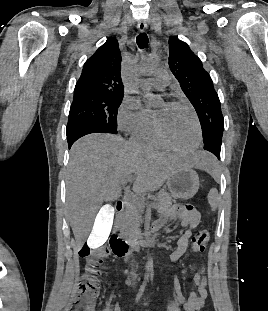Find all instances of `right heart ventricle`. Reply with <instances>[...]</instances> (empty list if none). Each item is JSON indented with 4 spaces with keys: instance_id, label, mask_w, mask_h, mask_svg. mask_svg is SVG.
Instances as JSON below:
<instances>
[{
    "instance_id": "right-heart-ventricle-1",
    "label": "right heart ventricle",
    "mask_w": 268,
    "mask_h": 311,
    "mask_svg": "<svg viewBox=\"0 0 268 311\" xmlns=\"http://www.w3.org/2000/svg\"><path fill=\"white\" fill-rule=\"evenodd\" d=\"M132 140L136 144L147 147V148H163L164 147L155 134L154 124L152 120L148 126L134 133L132 135Z\"/></svg>"
}]
</instances>
